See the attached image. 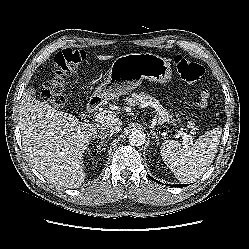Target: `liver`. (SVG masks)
I'll return each mask as SVG.
<instances>
[{
	"label": "liver",
	"mask_w": 249,
	"mask_h": 249,
	"mask_svg": "<svg viewBox=\"0 0 249 249\" xmlns=\"http://www.w3.org/2000/svg\"><path fill=\"white\" fill-rule=\"evenodd\" d=\"M113 56L99 55L108 60ZM19 128L28 160L51 183L77 188L84 181L83 153L97 130L105 123L122 125L112 117L100 124L81 123L68 113L59 111L24 92L20 105Z\"/></svg>",
	"instance_id": "6515ba94"
}]
</instances>
